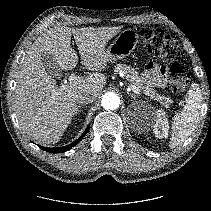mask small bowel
I'll return each mask as SVG.
<instances>
[{"label": "small bowel", "mask_w": 211, "mask_h": 211, "mask_svg": "<svg viewBox=\"0 0 211 211\" xmlns=\"http://www.w3.org/2000/svg\"><path fill=\"white\" fill-rule=\"evenodd\" d=\"M144 77L150 84L156 87H162L167 81V71L165 67L155 63H149L146 66Z\"/></svg>", "instance_id": "c3829d8e"}]
</instances>
